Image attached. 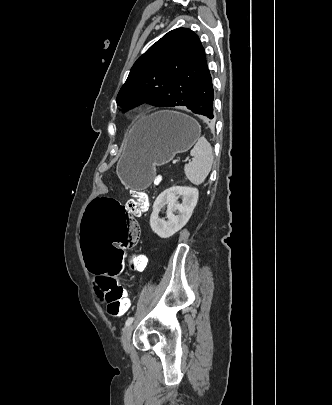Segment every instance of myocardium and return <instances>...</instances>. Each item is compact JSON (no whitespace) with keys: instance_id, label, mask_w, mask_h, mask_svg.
<instances>
[{"instance_id":"f54148a6","label":"myocardium","mask_w":332,"mask_h":405,"mask_svg":"<svg viewBox=\"0 0 332 405\" xmlns=\"http://www.w3.org/2000/svg\"><path fill=\"white\" fill-rule=\"evenodd\" d=\"M142 109V106L140 104H133L129 107L128 112L130 114H136L138 112H140Z\"/></svg>"}]
</instances>
